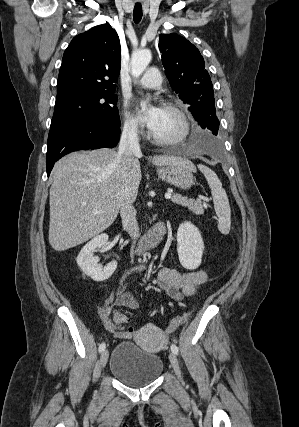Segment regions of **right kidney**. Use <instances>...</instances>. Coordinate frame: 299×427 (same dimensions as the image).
Listing matches in <instances>:
<instances>
[{
	"mask_svg": "<svg viewBox=\"0 0 299 427\" xmlns=\"http://www.w3.org/2000/svg\"><path fill=\"white\" fill-rule=\"evenodd\" d=\"M108 242L107 234H100L89 241L77 256V264L84 274L94 281H105L114 273L117 262L108 263L106 266L99 265V258L94 256L96 249L104 247Z\"/></svg>",
	"mask_w": 299,
	"mask_h": 427,
	"instance_id": "obj_1",
	"label": "right kidney"
}]
</instances>
